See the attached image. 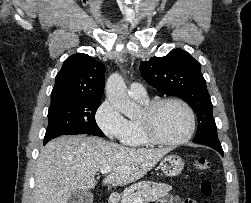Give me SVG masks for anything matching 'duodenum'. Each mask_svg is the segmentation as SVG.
I'll return each instance as SVG.
<instances>
[{"mask_svg":"<svg viewBox=\"0 0 251 203\" xmlns=\"http://www.w3.org/2000/svg\"><path fill=\"white\" fill-rule=\"evenodd\" d=\"M119 198V194L118 193H112L109 198H108V202L107 203H117Z\"/></svg>","mask_w":251,"mask_h":203,"instance_id":"1","label":"duodenum"}]
</instances>
